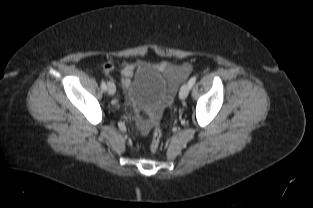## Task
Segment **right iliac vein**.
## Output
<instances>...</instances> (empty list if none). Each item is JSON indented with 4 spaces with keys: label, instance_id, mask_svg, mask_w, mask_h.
<instances>
[{
    "label": "right iliac vein",
    "instance_id": "right-iliac-vein-1",
    "mask_svg": "<svg viewBox=\"0 0 313 208\" xmlns=\"http://www.w3.org/2000/svg\"><path fill=\"white\" fill-rule=\"evenodd\" d=\"M107 91L110 95H114L115 94V91H116V88H115V85L113 82L109 81L107 83Z\"/></svg>",
    "mask_w": 313,
    "mask_h": 208
}]
</instances>
